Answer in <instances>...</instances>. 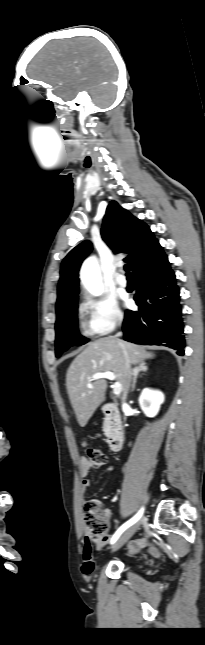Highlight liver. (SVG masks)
<instances>
[{
    "instance_id": "6515ba94",
    "label": "liver",
    "mask_w": 205,
    "mask_h": 645,
    "mask_svg": "<svg viewBox=\"0 0 205 645\" xmlns=\"http://www.w3.org/2000/svg\"><path fill=\"white\" fill-rule=\"evenodd\" d=\"M154 357L145 347L108 336L89 342L73 360L66 374V388L71 405L81 427H84L94 411L105 401L106 378L90 382L98 372H112L115 379L128 387V371L131 364H139ZM91 383L92 387L87 386Z\"/></svg>"
}]
</instances>
